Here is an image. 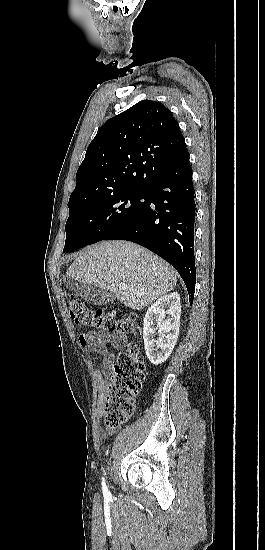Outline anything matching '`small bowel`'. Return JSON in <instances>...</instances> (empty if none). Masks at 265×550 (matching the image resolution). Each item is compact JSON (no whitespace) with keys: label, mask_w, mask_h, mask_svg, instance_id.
<instances>
[{"label":"small bowel","mask_w":265,"mask_h":550,"mask_svg":"<svg viewBox=\"0 0 265 550\" xmlns=\"http://www.w3.org/2000/svg\"><path fill=\"white\" fill-rule=\"evenodd\" d=\"M127 337L124 334H106V333H82L79 335V344L82 348L95 351L103 355L104 362L106 364L111 363L114 355L107 350V345H111L116 349H121L125 346ZM93 376L97 384L102 387L103 385V373L101 369L95 368L93 370ZM102 415V408L98 407L96 410V419L99 422ZM102 435H106L108 430L101 431Z\"/></svg>","instance_id":"small-bowel-1"}]
</instances>
